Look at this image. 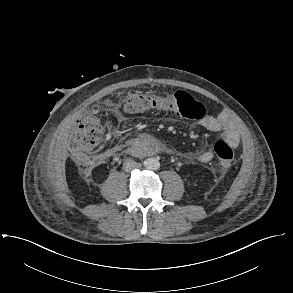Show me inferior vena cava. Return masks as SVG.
Listing matches in <instances>:
<instances>
[{
  "label": "inferior vena cava",
  "instance_id": "602c4592",
  "mask_svg": "<svg viewBox=\"0 0 293 293\" xmlns=\"http://www.w3.org/2000/svg\"><path fill=\"white\" fill-rule=\"evenodd\" d=\"M140 167V164L133 161V160H126L124 163H123V170L125 172H130L132 171L133 169L135 168H139Z\"/></svg>",
  "mask_w": 293,
  "mask_h": 293
}]
</instances>
